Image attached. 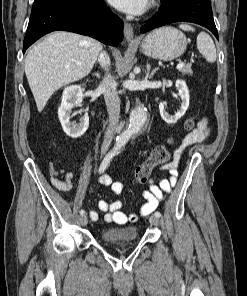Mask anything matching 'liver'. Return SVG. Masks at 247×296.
Listing matches in <instances>:
<instances>
[{
    "label": "liver",
    "mask_w": 247,
    "mask_h": 296,
    "mask_svg": "<svg viewBox=\"0 0 247 296\" xmlns=\"http://www.w3.org/2000/svg\"><path fill=\"white\" fill-rule=\"evenodd\" d=\"M101 50L99 41L65 31L48 35L30 49L25 73L38 111L56 90L87 76Z\"/></svg>",
    "instance_id": "liver-1"
}]
</instances>
